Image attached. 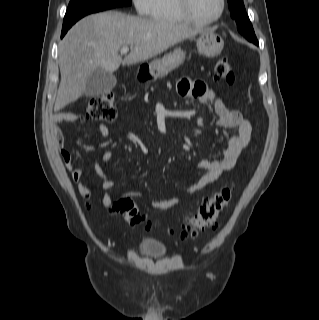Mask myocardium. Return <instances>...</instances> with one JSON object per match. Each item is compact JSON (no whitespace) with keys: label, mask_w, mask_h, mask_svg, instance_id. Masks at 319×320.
Returning a JSON list of instances; mask_svg holds the SVG:
<instances>
[{"label":"myocardium","mask_w":319,"mask_h":320,"mask_svg":"<svg viewBox=\"0 0 319 320\" xmlns=\"http://www.w3.org/2000/svg\"><path fill=\"white\" fill-rule=\"evenodd\" d=\"M177 3L181 13L188 22L202 26L217 23L223 17L226 10V0H220V9L218 14L212 19L203 20L194 15L191 7V0H177Z\"/></svg>","instance_id":"obj_1"}]
</instances>
